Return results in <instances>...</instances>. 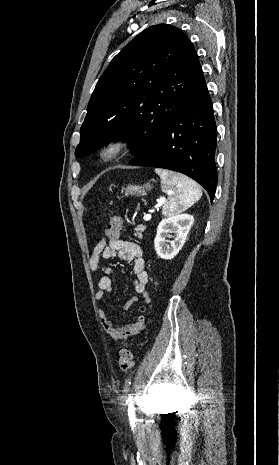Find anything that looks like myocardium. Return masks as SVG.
Here are the masks:
<instances>
[{
	"instance_id": "1",
	"label": "myocardium",
	"mask_w": 279,
	"mask_h": 465,
	"mask_svg": "<svg viewBox=\"0 0 279 465\" xmlns=\"http://www.w3.org/2000/svg\"><path fill=\"white\" fill-rule=\"evenodd\" d=\"M129 139L125 136H115L107 140L100 148V157L104 161L118 158L129 147Z\"/></svg>"
}]
</instances>
